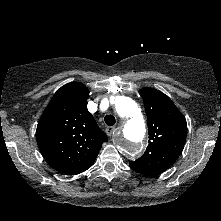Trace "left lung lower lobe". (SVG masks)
<instances>
[{
  "mask_svg": "<svg viewBox=\"0 0 221 221\" xmlns=\"http://www.w3.org/2000/svg\"><path fill=\"white\" fill-rule=\"evenodd\" d=\"M129 166L131 169H133L134 171L138 172V173H141L143 175H147V176H150V175H155L153 173H151L150 171H148L146 168L140 166V165H137L133 162H129Z\"/></svg>",
  "mask_w": 221,
  "mask_h": 221,
  "instance_id": "obj_1",
  "label": "left lung lower lobe"
}]
</instances>
